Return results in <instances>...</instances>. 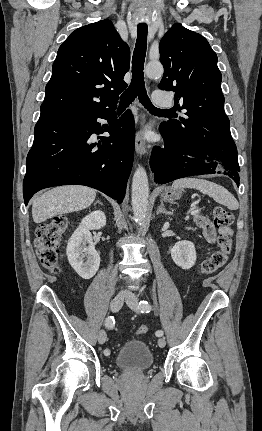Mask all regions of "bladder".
Returning <instances> with one entry per match:
<instances>
[{
  "instance_id": "31cf9c89",
  "label": "bladder",
  "mask_w": 262,
  "mask_h": 431,
  "mask_svg": "<svg viewBox=\"0 0 262 431\" xmlns=\"http://www.w3.org/2000/svg\"><path fill=\"white\" fill-rule=\"evenodd\" d=\"M115 360L125 371L140 372L152 365L153 355L143 340H131L119 349Z\"/></svg>"
}]
</instances>
